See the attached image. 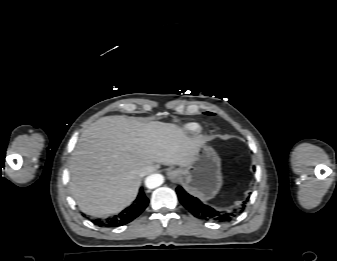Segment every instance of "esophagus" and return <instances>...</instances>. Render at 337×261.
Masks as SVG:
<instances>
[{
  "label": "esophagus",
  "instance_id": "1",
  "mask_svg": "<svg viewBox=\"0 0 337 261\" xmlns=\"http://www.w3.org/2000/svg\"><path fill=\"white\" fill-rule=\"evenodd\" d=\"M168 178L172 181V182H177L180 176L179 171L177 170H169L167 172Z\"/></svg>",
  "mask_w": 337,
  "mask_h": 261
}]
</instances>
